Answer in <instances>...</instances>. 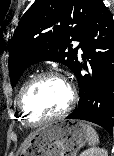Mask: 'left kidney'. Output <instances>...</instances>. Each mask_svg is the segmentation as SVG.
<instances>
[{
    "label": "left kidney",
    "mask_w": 114,
    "mask_h": 156,
    "mask_svg": "<svg viewBox=\"0 0 114 156\" xmlns=\"http://www.w3.org/2000/svg\"><path fill=\"white\" fill-rule=\"evenodd\" d=\"M80 156H108V154L105 149L93 147L81 153Z\"/></svg>",
    "instance_id": "left-kidney-1"
}]
</instances>
